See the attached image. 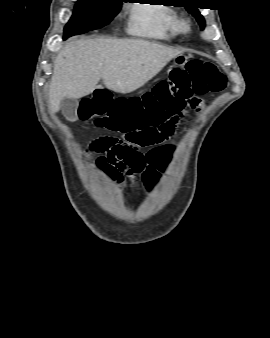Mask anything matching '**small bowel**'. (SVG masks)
<instances>
[{"instance_id": "1", "label": "small bowel", "mask_w": 270, "mask_h": 338, "mask_svg": "<svg viewBox=\"0 0 270 338\" xmlns=\"http://www.w3.org/2000/svg\"><path fill=\"white\" fill-rule=\"evenodd\" d=\"M136 148L127 141H122L112 136H97L92 139L87 147V153L99 152L102 154L97 162V166L105 171H114L120 162L125 161L127 153L132 149ZM155 170L152 174H146V178L151 183L157 181L165 170V166L168 162V154L162 153L156 158Z\"/></svg>"}]
</instances>
